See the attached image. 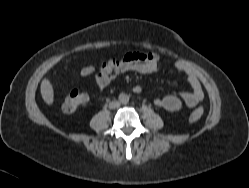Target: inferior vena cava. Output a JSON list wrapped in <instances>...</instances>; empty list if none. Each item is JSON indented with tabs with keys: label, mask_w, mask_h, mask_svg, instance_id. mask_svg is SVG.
<instances>
[{
	"label": "inferior vena cava",
	"mask_w": 249,
	"mask_h": 188,
	"mask_svg": "<svg viewBox=\"0 0 249 188\" xmlns=\"http://www.w3.org/2000/svg\"><path fill=\"white\" fill-rule=\"evenodd\" d=\"M120 106V102L118 101H112L109 103V108L114 109Z\"/></svg>",
	"instance_id": "obj_1"
}]
</instances>
